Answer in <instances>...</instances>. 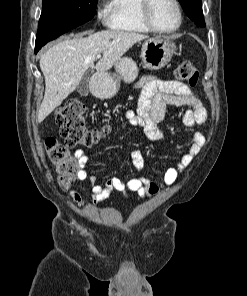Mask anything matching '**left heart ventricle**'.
Returning <instances> with one entry per match:
<instances>
[{"label": "left heart ventricle", "instance_id": "1", "mask_svg": "<svg viewBox=\"0 0 247 296\" xmlns=\"http://www.w3.org/2000/svg\"><path fill=\"white\" fill-rule=\"evenodd\" d=\"M151 17L160 29H171L178 21L177 12L171 0H153Z\"/></svg>", "mask_w": 247, "mask_h": 296}]
</instances>
